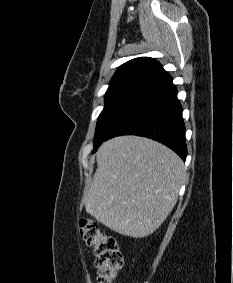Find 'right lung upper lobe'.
<instances>
[{"label":"right lung upper lobe","instance_id":"1","mask_svg":"<svg viewBox=\"0 0 233 283\" xmlns=\"http://www.w3.org/2000/svg\"><path fill=\"white\" fill-rule=\"evenodd\" d=\"M166 74L162 65L153 58L139 57L121 65L113 75L109 87L129 81L153 80Z\"/></svg>","mask_w":233,"mask_h":283}]
</instances>
